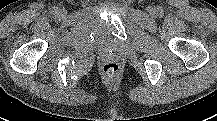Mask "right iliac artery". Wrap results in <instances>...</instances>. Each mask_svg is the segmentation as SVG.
<instances>
[{
  "label": "right iliac artery",
  "instance_id": "82829eb1",
  "mask_svg": "<svg viewBox=\"0 0 217 121\" xmlns=\"http://www.w3.org/2000/svg\"><path fill=\"white\" fill-rule=\"evenodd\" d=\"M57 11H58L57 9H54V11H53V12H54V13H57Z\"/></svg>",
  "mask_w": 217,
  "mask_h": 121
}]
</instances>
